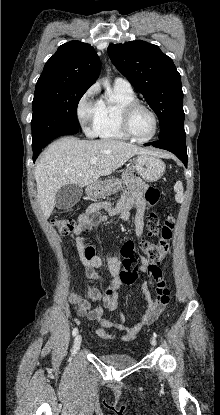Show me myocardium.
Listing matches in <instances>:
<instances>
[{
  "instance_id": "1",
  "label": "myocardium",
  "mask_w": 220,
  "mask_h": 415,
  "mask_svg": "<svg viewBox=\"0 0 220 415\" xmlns=\"http://www.w3.org/2000/svg\"><path fill=\"white\" fill-rule=\"evenodd\" d=\"M137 108H142L145 109L146 111H148L150 113V115L153 118V122H154V130L152 132V134L146 138H137L135 137L131 130H130V117L132 115V113L137 109ZM119 125L120 128L123 132V134L130 140L134 141V142H138V143H145L150 141L151 139H153L159 129V120L157 117V114L155 113V111L148 105L139 102L137 100L131 101L127 104H125L124 106H122V108L120 109V113H119Z\"/></svg>"
}]
</instances>
